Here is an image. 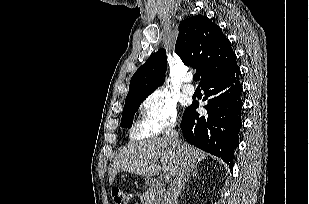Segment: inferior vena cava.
Segmentation results:
<instances>
[{
    "mask_svg": "<svg viewBox=\"0 0 309 204\" xmlns=\"http://www.w3.org/2000/svg\"><path fill=\"white\" fill-rule=\"evenodd\" d=\"M166 137L169 141L175 146L178 150L181 147V141L178 138V132L174 129H171L167 132ZM190 171V166L187 160L183 155L180 156L179 164L173 179L171 180L168 191L164 198V204H176L178 197L185 186L187 175Z\"/></svg>",
    "mask_w": 309,
    "mask_h": 204,
    "instance_id": "inferior-vena-cava-1",
    "label": "inferior vena cava"
}]
</instances>
